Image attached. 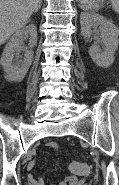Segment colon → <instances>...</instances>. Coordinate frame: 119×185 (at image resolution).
Listing matches in <instances>:
<instances>
[{"instance_id":"colon-1","label":"colon","mask_w":119,"mask_h":185,"mask_svg":"<svg viewBox=\"0 0 119 185\" xmlns=\"http://www.w3.org/2000/svg\"><path fill=\"white\" fill-rule=\"evenodd\" d=\"M67 167L71 172L80 176H87L90 174V167L87 164L73 159L68 160Z\"/></svg>"}]
</instances>
